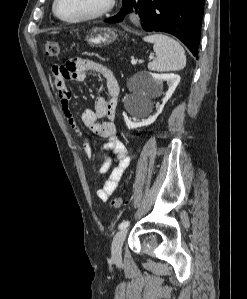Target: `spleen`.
Segmentation results:
<instances>
[{"label": "spleen", "mask_w": 247, "mask_h": 299, "mask_svg": "<svg viewBox=\"0 0 247 299\" xmlns=\"http://www.w3.org/2000/svg\"><path fill=\"white\" fill-rule=\"evenodd\" d=\"M144 41L153 43L156 58L148 63V69L157 72L181 70L186 65L185 51L171 37L154 34L144 37Z\"/></svg>", "instance_id": "spleen-1"}]
</instances>
